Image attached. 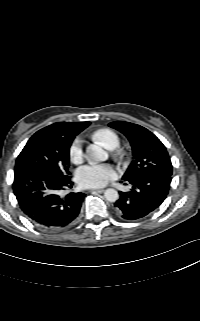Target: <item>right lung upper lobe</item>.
<instances>
[{
  "instance_id": "obj_1",
  "label": "right lung upper lobe",
  "mask_w": 200,
  "mask_h": 321,
  "mask_svg": "<svg viewBox=\"0 0 200 321\" xmlns=\"http://www.w3.org/2000/svg\"><path fill=\"white\" fill-rule=\"evenodd\" d=\"M90 122H57L46 128L58 139L73 140Z\"/></svg>"
}]
</instances>
